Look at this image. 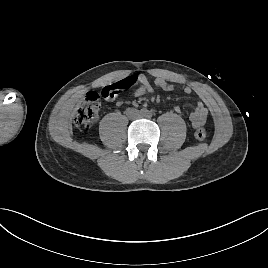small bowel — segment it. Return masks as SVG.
Segmentation results:
<instances>
[{
	"label": "small bowel",
	"mask_w": 268,
	"mask_h": 268,
	"mask_svg": "<svg viewBox=\"0 0 268 268\" xmlns=\"http://www.w3.org/2000/svg\"><path fill=\"white\" fill-rule=\"evenodd\" d=\"M135 80V84H139V86L135 89L133 95L135 97L143 96L146 93H152L155 89H161L164 91H174L176 87L173 84L168 83L162 77H156L155 79H151L142 74H136L129 76ZM128 78V77H127ZM184 94H191L193 89L190 86H185L182 89ZM117 105H121V102H117ZM175 111L179 112L180 108L175 107ZM208 117V109L204 105L203 102L199 101L195 107V109L190 114L191 125L194 129L202 127L207 120Z\"/></svg>",
	"instance_id": "1"
}]
</instances>
